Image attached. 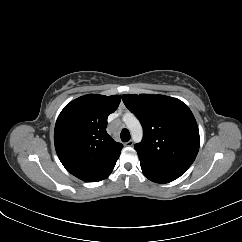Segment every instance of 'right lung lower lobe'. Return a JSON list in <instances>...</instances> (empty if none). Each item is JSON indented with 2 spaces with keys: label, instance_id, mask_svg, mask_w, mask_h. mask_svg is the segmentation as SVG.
Returning <instances> with one entry per match:
<instances>
[{
  "label": "right lung lower lobe",
  "instance_id": "right-lung-lower-lobe-1",
  "mask_svg": "<svg viewBox=\"0 0 242 242\" xmlns=\"http://www.w3.org/2000/svg\"><path fill=\"white\" fill-rule=\"evenodd\" d=\"M113 168H114V166L111 167L98 181H101V180L105 179L106 177H108L109 174L112 172Z\"/></svg>",
  "mask_w": 242,
  "mask_h": 242
}]
</instances>
